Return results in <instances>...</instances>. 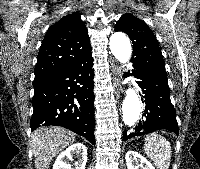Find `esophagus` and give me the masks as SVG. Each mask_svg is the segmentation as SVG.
Segmentation results:
<instances>
[{
	"instance_id": "esophagus-1",
	"label": "esophagus",
	"mask_w": 200,
	"mask_h": 169,
	"mask_svg": "<svg viewBox=\"0 0 200 169\" xmlns=\"http://www.w3.org/2000/svg\"><path fill=\"white\" fill-rule=\"evenodd\" d=\"M111 72H112V80H113V85L115 87V90L116 92L120 93V91H122L121 86L119 84L120 77H121V70L115 62L111 64Z\"/></svg>"
}]
</instances>
